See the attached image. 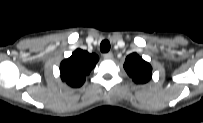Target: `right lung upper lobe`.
Wrapping results in <instances>:
<instances>
[{
    "instance_id": "obj_1",
    "label": "right lung upper lobe",
    "mask_w": 203,
    "mask_h": 123,
    "mask_svg": "<svg viewBox=\"0 0 203 123\" xmlns=\"http://www.w3.org/2000/svg\"><path fill=\"white\" fill-rule=\"evenodd\" d=\"M98 60L99 57L96 54L76 49L71 57L63 60L60 64L62 81L71 87H80Z\"/></svg>"
}]
</instances>
